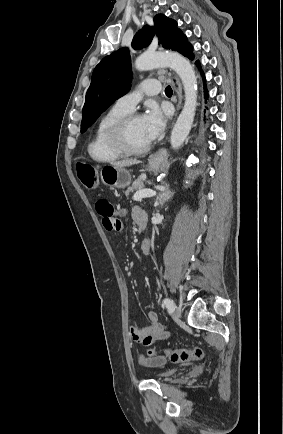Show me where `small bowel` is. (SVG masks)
I'll list each match as a JSON object with an SVG mask.
<instances>
[{"label": "small bowel", "instance_id": "c3829d8e", "mask_svg": "<svg viewBox=\"0 0 283 434\" xmlns=\"http://www.w3.org/2000/svg\"><path fill=\"white\" fill-rule=\"evenodd\" d=\"M97 213L102 217V223L106 230L116 232L122 228L121 221L117 218V212L112 203L105 199L100 198L95 203ZM123 214V212H120ZM133 219L137 224L140 222L147 223V215L140 208H134L132 211ZM145 251H148V244L143 246ZM147 324L144 326L132 325L130 334L134 341L143 343L149 346L157 341H163L169 337L165 326L160 323L154 312L146 314ZM139 360L142 364L150 367H162L166 363V358L163 355L144 356L140 355Z\"/></svg>", "mask_w": 283, "mask_h": 434}]
</instances>
